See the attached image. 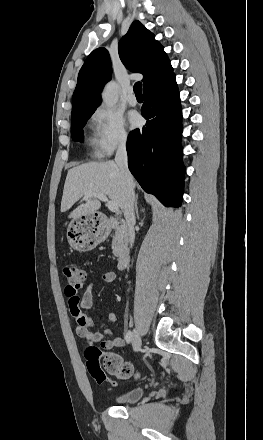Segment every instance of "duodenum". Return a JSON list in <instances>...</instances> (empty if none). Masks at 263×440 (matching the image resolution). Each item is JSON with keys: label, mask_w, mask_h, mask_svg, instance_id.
<instances>
[{"label": "duodenum", "mask_w": 263, "mask_h": 440, "mask_svg": "<svg viewBox=\"0 0 263 440\" xmlns=\"http://www.w3.org/2000/svg\"><path fill=\"white\" fill-rule=\"evenodd\" d=\"M104 224H107L110 227H116L120 225V223L113 218H107ZM129 259H130V249L126 245L120 244L119 255L117 258V268L123 269L129 262Z\"/></svg>", "instance_id": "obj_1"}]
</instances>
